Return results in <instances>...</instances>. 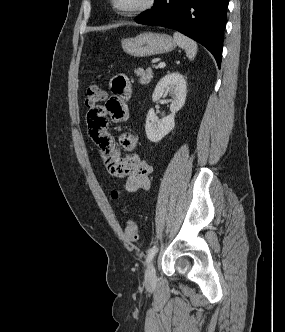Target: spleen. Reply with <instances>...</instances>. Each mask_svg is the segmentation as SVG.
<instances>
[{
	"instance_id": "obj_1",
	"label": "spleen",
	"mask_w": 285,
	"mask_h": 332,
	"mask_svg": "<svg viewBox=\"0 0 285 332\" xmlns=\"http://www.w3.org/2000/svg\"><path fill=\"white\" fill-rule=\"evenodd\" d=\"M173 37L177 45L185 50L186 56L193 60L198 49L196 42L179 32H175Z\"/></svg>"
}]
</instances>
